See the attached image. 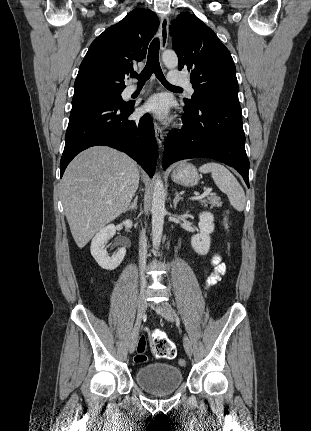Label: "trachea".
<instances>
[{
    "instance_id": "1",
    "label": "trachea",
    "mask_w": 311,
    "mask_h": 431,
    "mask_svg": "<svg viewBox=\"0 0 311 431\" xmlns=\"http://www.w3.org/2000/svg\"><path fill=\"white\" fill-rule=\"evenodd\" d=\"M159 46V39L154 38L149 46L148 58L145 68L142 70L140 75H138L136 72H133L130 74V76L132 78H137L138 83H145L147 80H149L152 73H155L158 80L163 83L164 86L182 90L181 87H174V85H171L164 77L159 63Z\"/></svg>"
}]
</instances>
